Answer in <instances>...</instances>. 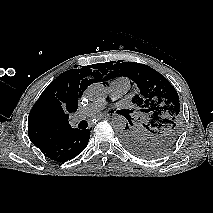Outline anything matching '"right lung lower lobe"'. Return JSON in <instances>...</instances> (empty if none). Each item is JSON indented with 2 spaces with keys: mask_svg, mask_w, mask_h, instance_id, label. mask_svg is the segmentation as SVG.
I'll return each mask as SVG.
<instances>
[{
  "mask_svg": "<svg viewBox=\"0 0 213 213\" xmlns=\"http://www.w3.org/2000/svg\"><path fill=\"white\" fill-rule=\"evenodd\" d=\"M90 130L75 128L66 136L50 139L37 140L33 144L48 158L57 162H66L80 154L87 146L90 138Z\"/></svg>",
  "mask_w": 213,
  "mask_h": 213,
  "instance_id": "98d812e1",
  "label": "right lung lower lobe"
}]
</instances>
